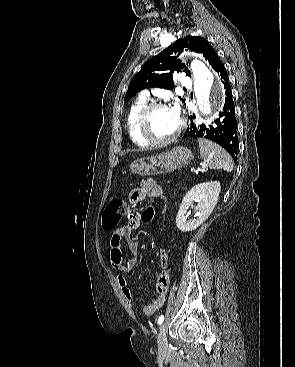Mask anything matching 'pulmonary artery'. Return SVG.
I'll list each match as a JSON object with an SVG mask.
<instances>
[{"label":"pulmonary artery","mask_w":295,"mask_h":367,"mask_svg":"<svg viewBox=\"0 0 295 367\" xmlns=\"http://www.w3.org/2000/svg\"><path fill=\"white\" fill-rule=\"evenodd\" d=\"M181 85L184 88H191L192 87V81H191V79L189 77L183 76L182 79H181ZM148 96H149L148 91H143L141 93V98L147 99Z\"/></svg>","instance_id":"obj_1"}]
</instances>
